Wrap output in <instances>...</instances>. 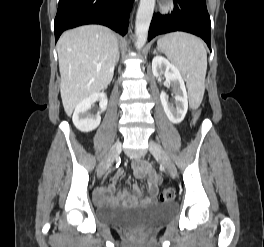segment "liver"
<instances>
[{"mask_svg": "<svg viewBox=\"0 0 264 247\" xmlns=\"http://www.w3.org/2000/svg\"><path fill=\"white\" fill-rule=\"evenodd\" d=\"M57 52L62 103L70 116L79 102L111 82L118 40L107 27L86 25L65 31L57 42Z\"/></svg>", "mask_w": 264, "mask_h": 247, "instance_id": "liver-1", "label": "liver"}]
</instances>
